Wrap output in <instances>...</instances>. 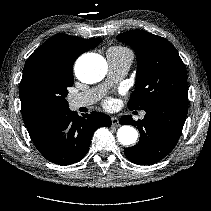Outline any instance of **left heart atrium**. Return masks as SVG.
I'll return each mask as SVG.
<instances>
[{"instance_id":"39dd6f15","label":"left heart atrium","mask_w":211,"mask_h":211,"mask_svg":"<svg viewBox=\"0 0 211 211\" xmlns=\"http://www.w3.org/2000/svg\"><path fill=\"white\" fill-rule=\"evenodd\" d=\"M110 104H111V102H110V101H107V102H106V105H110Z\"/></svg>"}]
</instances>
